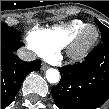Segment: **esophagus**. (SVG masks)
<instances>
[{
	"mask_svg": "<svg viewBox=\"0 0 109 109\" xmlns=\"http://www.w3.org/2000/svg\"><path fill=\"white\" fill-rule=\"evenodd\" d=\"M49 66L46 63H42L41 65V70L44 71L48 68Z\"/></svg>",
	"mask_w": 109,
	"mask_h": 109,
	"instance_id": "esophagus-1",
	"label": "esophagus"
}]
</instances>
